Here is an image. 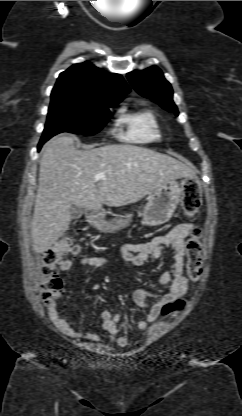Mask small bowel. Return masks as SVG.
Instances as JSON below:
<instances>
[{"instance_id":"c3829d8e","label":"small bowel","mask_w":242,"mask_h":416,"mask_svg":"<svg viewBox=\"0 0 242 416\" xmlns=\"http://www.w3.org/2000/svg\"><path fill=\"white\" fill-rule=\"evenodd\" d=\"M194 223L185 222L174 226L170 231L159 234L151 240L139 243H127L121 247V257L128 263L135 266L145 265L151 258L160 256L163 246H171L174 251L173 267L162 273L158 279L160 286L169 285L168 291L159 297V300L150 307L146 303L147 298H157L158 296L146 289L140 288L134 291L133 301L142 308H149L145 319L137 323L139 330H144L149 324L153 323L161 314L162 308L179 297L183 296L188 290V279L184 275L185 266V239L190 233ZM76 264L95 269H104L108 264V259L102 256L87 255L78 260L66 259L60 264L61 271H68ZM50 318L57 329L65 336L82 341L96 342L104 334H107L111 341L119 346L127 345V338L119 334L118 322L121 320L120 314H112L108 310L101 313L102 326L100 331L79 332L71 327L68 320L59 315L56 310L50 312Z\"/></svg>"}]
</instances>
